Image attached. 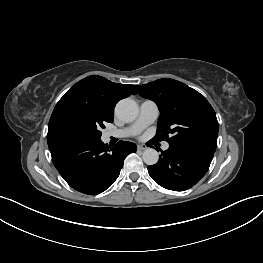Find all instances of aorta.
<instances>
[{"label":"aorta","mask_w":263,"mask_h":263,"mask_svg":"<svg viewBox=\"0 0 263 263\" xmlns=\"http://www.w3.org/2000/svg\"><path fill=\"white\" fill-rule=\"evenodd\" d=\"M138 111L137 103L130 98L120 100L115 107L117 117L124 122L134 121L138 115ZM142 158L147 165H155L158 162L159 155L155 149L147 148L143 152Z\"/></svg>","instance_id":"1"}]
</instances>
